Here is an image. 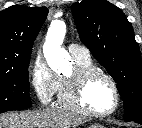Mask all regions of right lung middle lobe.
<instances>
[{
  "instance_id": "right-lung-middle-lobe-1",
  "label": "right lung middle lobe",
  "mask_w": 142,
  "mask_h": 128,
  "mask_svg": "<svg viewBox=\"0 0 142 128\" xmlns=\"http://www.w3.org/2000/svg\"><path fill=\"white\" fill-rule=\"evenodd\" d=\"M27 61L14 69L0 70V113L32 106Z\"/></svg>"
}]
</instances>
